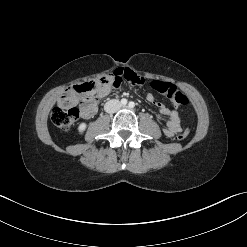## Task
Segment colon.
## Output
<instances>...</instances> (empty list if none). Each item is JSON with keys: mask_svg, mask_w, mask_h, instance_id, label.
<instances>
[{"mask_svg": "<svg viewBox=\"0 0 247 247\" xmlns=\"http://www.w3.org/2000/svg\"><path fill=\"white\" fill-rule=\"evenodd\" d=\"M135 84H143V78L138 76L127 79ZM122 80L113 74L101 78L97 82H86L73 87L71 92L63 95L58 105L52 110L51 120L54 125L63 131L70 130L80 117V110L74 105L75 95L83 94V101L87 106H92L97 101L99 89L107 84L119 87ZM151 87L158 93L168 97L176 106H185L188 104L187 96L179 91L173 84L163 81H152ZM189 131L184 130L176 138L184 140L188 137Z\"/></svg>", "mask_w": 247, "mask_h": 247, "instance_id": "5ec220e1", "label": "colon"}]
</instances>
